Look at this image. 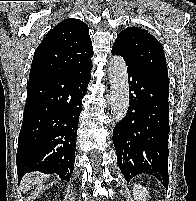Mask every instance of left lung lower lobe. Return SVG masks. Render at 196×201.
<instances>
[{
	"mask_svg": "<svg viewBox=\"0 0 196 201\" xmlns=\"http://www.w3.org/2000/svg\"><path fill=\"white\" fill-rule=\"evenodd\" d=\"M113 55H120L112 50ZM121 56V55H120ZM129 107L113 131L118 166L129 182L138 174L157 177L168 187V82L127 64Z\"/></svg>",
	"mask_w": 196,
	"mask_h": 201,
	"instance_id": "obj_1",
	"label": "left lung lower lobe"
}]
</instances>
